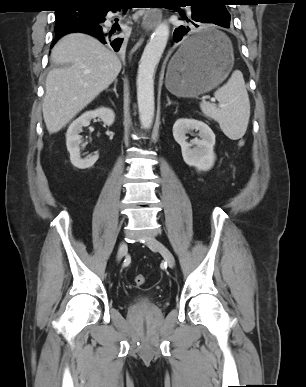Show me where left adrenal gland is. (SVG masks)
Masks as SVG:
<instances>
[{
  "label": "left adrenal gland",
  "mask_w": 306,
  "mask_h": 387,
  "mask_svg": "<svg viewBox=\"0 0 306 387\" xmlns=\"http://www.w3.org/2000/svg\"><path fill=\"white\" fill-rule=\"evenodd\" d=\"M171 104H176L175 102H172L170 100V98L167 96V106L171 105Z\"/></svg>",
  "instance_id": "obj_1"
}]
</instances>
